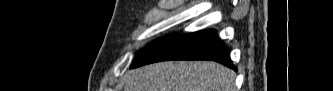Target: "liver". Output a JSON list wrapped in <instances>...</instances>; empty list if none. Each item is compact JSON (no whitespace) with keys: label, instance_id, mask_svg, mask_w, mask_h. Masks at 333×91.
<instances>
[{"label":"liver","instance_id":"1","mask_svg":"<svg viewBox=\"0 0 333 91\" xmlns=\"http://www.w3.org/2000/svg\"><path fill=\"white\" fill-rule=\"evenodd\" d=\"M235 77L216 62H161L130 71L125 91H235Z\"/></svg>","mask_w":333,"mask_h":91}]
</instances>
